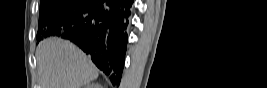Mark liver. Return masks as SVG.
I'll return each mask as SVG.
<instances>
[{
  "instance_id": "liver-1",
  "label": "liver",
  "mask_w": 267,
  "mask_h": 88,
  "mask_svg": "<svg viewBox=\"0 0 267 88\" xmlns=\"http://www.w3.org/2000/svg\"><path fill=\"white\" fill-rule=\"evenodd\" d=\"M35 56L39 88H81L98 77L92 61L69 41L57 37L44 39Z\"/></svg>"
}]
</instances>
